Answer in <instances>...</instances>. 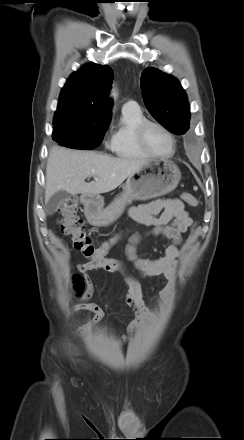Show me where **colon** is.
<instances>
[{"label": "colon", "instance_id": "colon-1", "mask_svg": "<svg viewBox=\"0 0 244 440\" xmlns=\"http://www.w3.org/2000/svg\"><path fill=\"white\" fill-rule=\"evenodd\" d=\"M181 198L189 206L196 207L198 205V200L190 193H183ZM76 210L77 200L74 197L67 198L58 204L56 214L59 217L62 231L72 237L74 248L88 258L95 268L106 271L115 269L119 262L106 256L112 247L119 242L122 234H117L95 247L85 230L83 220L77 216ZM76 286L77 288L82 287L80 278H76Z\"/></svg>", "mask_w": 244, "mask_h": 440}]
</instances>
